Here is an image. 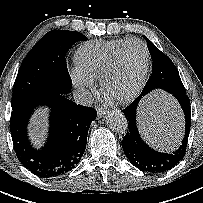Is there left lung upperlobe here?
<instances>
[{
    "mask_svg": "<svg viewBox=\"0 0 203 203\" xmlns=\"http://www.w3.org/2000/svg\"><path fill=\"white\" fill-rule=\"evenodd\" d=\"M143 37L146 39L151 58L153 60L152 74L149 77L143 92L147 94L154 89H163L169 93H186L178 70L173 62L147 37Z\"/></svg>",
    "mask_w": 203,
    "mask_h": 203,
    "instance_id": "5c2ea615",
    "label": "left lung upper lobe"
}]
</instances>
